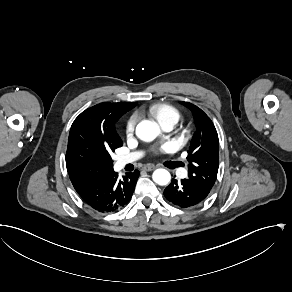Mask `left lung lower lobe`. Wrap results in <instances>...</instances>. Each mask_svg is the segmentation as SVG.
<instances>
[{"instance_id": "1", "label": "left lung lower lobe", "mask_w": 292, "mask_h": 292, "mask_svg": "<svg viewBox=\"0 0 292 292\" xmlns=\"http://www.w3.org/2000/svg\"><path fill=\"white\" fill-rule=\"evenodd\" d=\"M210 190L187 179H182L180 182L172 179L164 190V196L172 204L181 208H188L202 202L208 196Z\"/></svg>"}]
</instances>
